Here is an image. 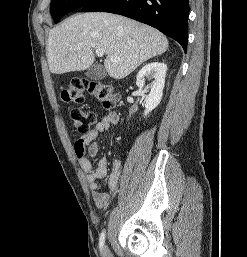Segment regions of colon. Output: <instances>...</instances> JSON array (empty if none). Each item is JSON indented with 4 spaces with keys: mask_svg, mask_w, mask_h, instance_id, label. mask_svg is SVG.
Listing matches in <instances>:
<instances>
[{
    "mask_svg": "<svg viewBox=\"0 0 247 257\" xmlns=\"http://www.w3.org/2000/svg\"><path fill=\"white\" fill-rule=\"evenodd\" d=\"M85 93L91 95L104 109L115 107L118 96L111 85L100 81L74 79L62 90L61 97L66 103L80 104L85 99ZM70 118L77 131L87 133L96 123V114L93 111L78 107H70Z\"/></svg>",
    "mask_w": 247,
    "mask_h": 257,
    "instance_id": "1",
    "label": "colon"
}]
</instances>
